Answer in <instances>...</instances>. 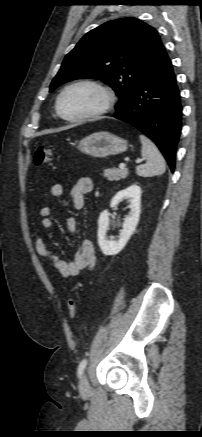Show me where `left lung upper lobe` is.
<instances>
[{"label": "left lung upper lobe", "instance_id": "1", "mask_svg": "<svg viewBox=\"0 0 202 437\" xmlns=\"http://www.w3.org/2000/svg\"><path fill=\"white\" fill-rule=\"evenodd\" d=\"M166 56L153 27L134 17L112 20L84 35L66 55L50 92L74 79L99 78L119 97L117 109L161 66Z\"/></svg>", "mask_w": 202, "mask_h": 437}]
</instances>
